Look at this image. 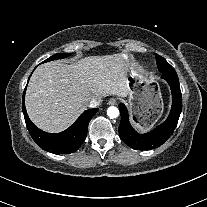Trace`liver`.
<instances>
[{"label": "liver", "mask_w": 207, "mask_h": 207, "mask_svg": "<svg viewBox=\"0 0 207 207\" xmlns=\"http://www.w3.org/2000/svg\"><path fill=\"white\" fill-rule=\"evenodd\" d=\"M108 95H128L127 65L121 54L39 66L30 78L25 104L37 127L58 133L74 123L92 98Z\"/></svg>", "instance_id": "6515ba94"}]
</instances>
